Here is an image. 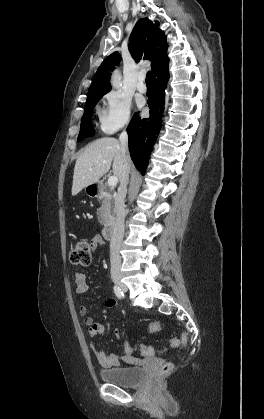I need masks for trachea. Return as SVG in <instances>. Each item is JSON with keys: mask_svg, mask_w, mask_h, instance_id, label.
I'll return each instance as SVG.
<instances>
[{"mask_svg": "<svg viewBox=\"0 0 264 419\" xmlns=\"http://www.w3.org/2000/svg\"><path fill=\"white\" fill-rule=\"evenodd\" d=\"M146 84L147 85H152V76H151V72L148 71L147 75H146Z\"/></svg>", "mask_w": 264, "mask_h": 419, "instance_id": "1", "label": "trachea"}]
</instances>
